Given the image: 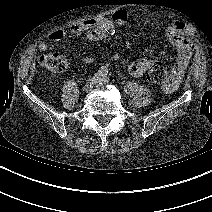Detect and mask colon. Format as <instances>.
Listing matches in <instances>:
<instances>
[{
  "label": "colon",
  "mask_w": 212,
  "mask_h": 212,
  "mask_svg": "<svg viewBox=\"0 0 212 212\" xmlns=\"http://www.w3.org/2000/svg\"><path fill=\"white\" fill-rule=\"evenodd\" d=\"M40 65L52 72H64L68 68V62L64 55L58 52H48L43 54L39 59ZM148 78L151 82L156 84H163L167 81L166 68L160 64H154L149 73Z\"/></svg>",
  "instance_id": "colon-1"
}]
</instances>
